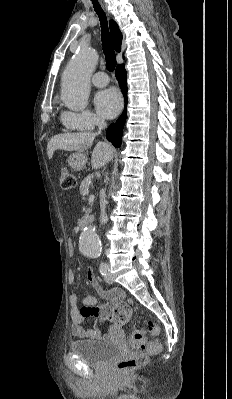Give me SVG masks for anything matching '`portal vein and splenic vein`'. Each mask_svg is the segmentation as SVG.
<instances>
[{"instance_id": "18ae733b", "label": "portal vein and splenic vein", "mask_w": 232, "mask_h": 399, "mask_svg": "<svg viewBox=\"0 0 232 399\" xmlns=\"http://www.w3.org/2000/svg\"><path fill=\"white\" fill-rule=\"evenodd\" d=\"M87 194H89V190H86V192H84L83 196H87Z\"/></svg>"}]
</instances>
